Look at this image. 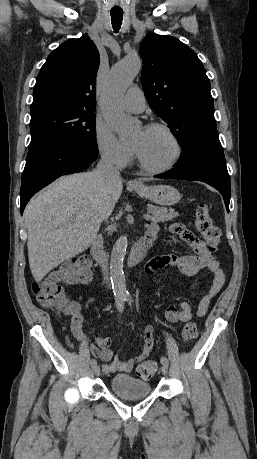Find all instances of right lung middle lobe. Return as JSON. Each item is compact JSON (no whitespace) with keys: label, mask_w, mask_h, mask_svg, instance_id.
Returning <instances> with one entry per match:
<instances>
[{"label":"right lung middle lobe","mask_w":257,"mask_h":459,"mask_svg":"<svg viewBox=\"0 0 257 459\" xmlns=\"http://www.w3.org/2000/svg\"><path fill=\"white\" fill-rule=\"evenodd\" d=\"M95 110L53 106L31 112V142H67L98 152Z\"/></svg>","instance_id":"1"}]
</instances>
